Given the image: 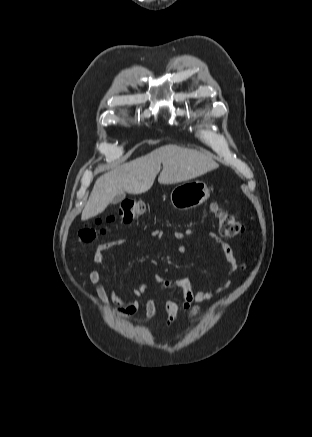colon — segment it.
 I'll return each mask as SVG.
<instances>
[{
	"instance_id": "1",
	"label": "colon",
	"mask_w": 312,
	"mask_h": 437,
	"mask_svg": "<svg viewBox=\"0 0 312 437\" xmlns=\"http://www.w3.org/2000/svg\"><path fill=\"white\" fill-rule=\"evenodd\" d=\"M145 209L146 205L143 200L126 198L120 203L117 220L124 224L132 223L144 214ZM212 210L217 216L222 236L232 238L244 231V224L228 212L219 209L216 205H212ZM97 233L98 231L94 227L87 226L79 231L78 239L82 242H89L96 237Z\"/></svg>"
}]
</instances>
